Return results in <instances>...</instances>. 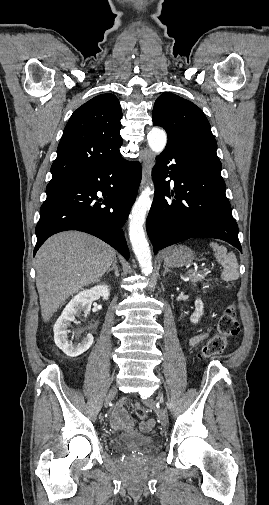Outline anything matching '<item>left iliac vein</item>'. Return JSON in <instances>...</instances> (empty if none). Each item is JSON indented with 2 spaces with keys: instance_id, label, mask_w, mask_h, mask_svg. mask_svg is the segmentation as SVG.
I'll return each mask as SVG.
<instances>
[{
  "instance_id": "1",
  "label": "left iliac vein",
  "mask_w": 269,
  "mask_h": 505,
  "mask_svg": "<svg viewBox=\"0 0 269 505\" xmlns=\"http://www.w3.org/2000/svg\"><path fill=\"white\" fill-rule=\"evenodd\" d=\"M143 405L145 409L151 410L153 412L156 411L158 408L152 399L145 400ZM157 414L161 425L166 426L168 423V417L166 411L164 409H158Z\"/></svg>"
}]
</instances>
